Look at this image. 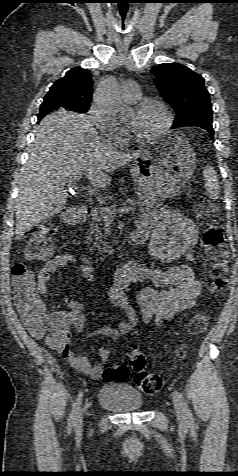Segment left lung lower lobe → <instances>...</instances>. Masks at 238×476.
<instances>
[{"mask_svg":"<svg viewBox=\"0 0 238 476\" xmlns=\"http://www.w3.org/2000/svg\"><path fill=\"white\" fill-rule=\"evenodd\" d=\"M201 128L207 130L210 133V137L213 138V134H214L213 128H210V127H201Z\"/></svg>","mask_w":238,"mask_h":476,"instance_id":"left-lung-lower-lobe-1","label":"left lung lower lobe"}]
</instances>
